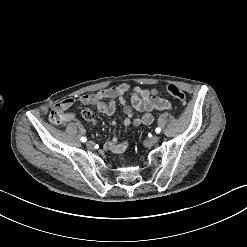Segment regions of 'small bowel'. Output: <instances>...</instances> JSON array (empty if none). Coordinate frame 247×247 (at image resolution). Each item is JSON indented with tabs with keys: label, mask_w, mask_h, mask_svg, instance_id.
<instances>
[{
	"label": "small bowel",
	"mask_w": 247,
	"mask_h": 247,
	"mask_svg": "<svg viewBox=\"0 0 247 247\" xmlns=\"http://www.w3.org/2000/svg\"><path fill=\"white\" fill-rule=\"evenodd\" d=\"M129 96L128 104L125 97ZM83 105H92L97 110L107 116H112L116 111V101H119L125 114V126H139L141 124L150 125L154 121L152 112L170 110L171 103L156 89H143L132 87L129 83H121L95 93H88L80 96L77 100ZM75 102L73 98H67L56 104V109L64 111ZM133 110L143 112L141 118H134ZM82 117L87 120L90 127L98 124V119L89 109L82 111ZM112 125H116V120H112ZM128 141L118 142L114 137L104 145L105 150L114 153H123L128 148Z\"/></svg>",
	"instance_id": "c3829d8e"
}]
</instances>
